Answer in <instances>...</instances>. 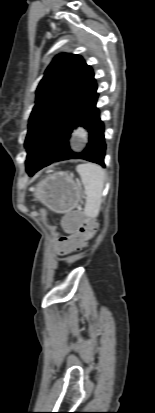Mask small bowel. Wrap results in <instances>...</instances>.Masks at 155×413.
Returning <instances> with one entry per match:
<instances>
[{"mask_svg":"<svg viewBox=\"0 0 155 413\" xmlns=\"http://www.w3.org/2000/svg\"><path fill=\"white\" fill-rule=\"evenodd\" d=\"M64 251H67V248H63Z\"/></svg>","mask_w":155,"mask_h":413,"instance_id":"c3829d8e","label":"small bowel"}]
</instances>
